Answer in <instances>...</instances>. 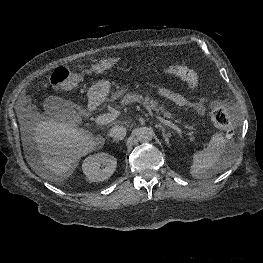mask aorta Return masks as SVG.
Returning <instances> with one entry per match:
<instances>
[{"instance_id": "762f6f07", "label": "aorta", "mask_w": 263, "mask_h": 263, "mask_svg": "<svg viewBox=\"0 0 263 263\" xmlns=\"http://www.w3.org/2000/svg\"><path fill=\"white\" fill-rule=\"evenodd\" d=\"M153 135H154L153 130L147 127H140L136 130V137L142 143L151 141Z\"/></svg>"}]
</instances>
